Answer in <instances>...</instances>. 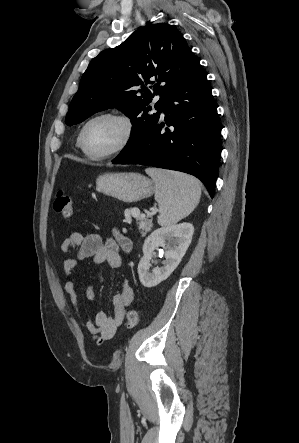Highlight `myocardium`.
I'll list each match as a JSON object with an SVG mask.
<instances>
[{
	"label": "myocardium",
	"instance_id": "myocardium-1",
	"mask_svg": "<svg viewBox=\"0 0 299 443\" xmlns=\"http://www.w3.org/2000/svg\"><path fill=\"white\" fill-rule=\"evenodd\" d=\"M102 118H112V119L119 121L124 127V136H123L121 142L112 150H110L106 153H103V154H93L85 146V133H86L88 126L92 122H94L98 119H102ZM133 135H134V124H133L132 119L128 115H126L124 113L116 112V111H106V112H101L99 114H96L86 121V123L83 125V127L80 131L78 144H79V147L82 150V152L90 159L104 160V159L113 157V156L121 153L123 150H125L128 147V145L130 144V142L132 141Z\"/></svg>",
	"mask_w": 299,
	"mask_h": 443
}]
</instances>
